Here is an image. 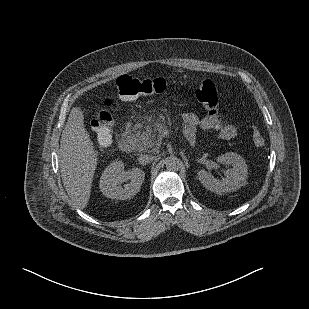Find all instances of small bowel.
I'll return each instance as SVG.
<instances>
[{
	"label": "small bowel",
	"instance_id": "1",
	"mask_svg": "<svg viewBox=\"0 0 309 309\" xmlns=\"http://www.w3.org/2000/svg\"><path fill=\"white\" fill-rule=\"evenodd\" d=\"M183 121L184 136L190 143L195 141L196 134L199 129L214 130L223 140H231L237 135L236 127L227 123L219 116H206L204 118H200L194 113H187L184 115Z\"/></svg>",
	"mask_w": 309,
	"mask_h": 309
}]
</instances>
